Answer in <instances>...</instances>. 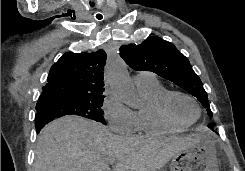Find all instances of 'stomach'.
<instances>
[{"label": "stomach", "instance_id": "stomach-1", "mask_svg": "<svg viewBox=\"0 0 245 171\" xmlns=\"http://www.w3.org/2000/svg\"><path fill=\"white\" fill-rule=\"evenodd\" d=\"M171 171H219L215 139L201 135L198 143L173 156Z\"/></svg>", "mask_w": 245, "mask_h": 171}]
</instances>
